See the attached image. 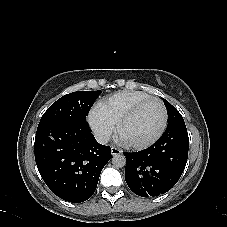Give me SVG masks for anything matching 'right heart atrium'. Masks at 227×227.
Wrapping results in <instances>:
<instances>
[{"label": "right heart atrium", "instance_id": "d8ad5b80", "mask_svg": "<svg viewBox=\"0 0 227 227\" xmlns=\"http://www.w3.org/2000/svg\"><path fill=\"white\" fill-rule=\"evenodd\" d=\"M88 123L96 138L102 143L107 142L115 132V124L102 115L97 106L90 112Z\"/></svg>", "mask_w": 227, "mask_h": 227}]
</instances>
